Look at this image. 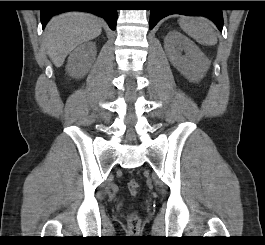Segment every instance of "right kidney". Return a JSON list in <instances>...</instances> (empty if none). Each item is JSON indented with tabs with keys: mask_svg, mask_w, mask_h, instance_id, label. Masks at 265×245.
Here are the masks:
<instances>
[{
	"mask_svg": "<svg viewBox=\"0 0 265 245\" xmlns=\"http://www.w3.org/2000/svg\"><path fill=\"white\" fill-rule=\"evenodd\" d=\"M96 54L95 43L88 42L82 44L68 57L66 71L74 78H82L90 70Z\"/></svg>",
	"mask_w": 265,
	"mask_h": 245,
	"instance_id": "1",
	"label": "right kidney"
}]
</instances>
